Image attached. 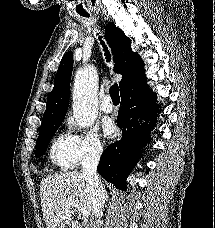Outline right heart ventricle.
<instances>
[{
  "label": "right heart ventricle",
  "mask_w": 215,
  "mask_h": 228,
  "mask_svg": "<svg viewBox=\"0 0 215 228\" xmlns=\"http://www.w3.org/2000/svg\"><path fill=\"white\" fill-rule=\"evenodd\" d=\"M50 160L62 171L74 169L77 164L74 137L69 134H60L51 145Z\"/></svg>",
  "instance_id": "right-heart-ventricle-1"
}]
</instances>
